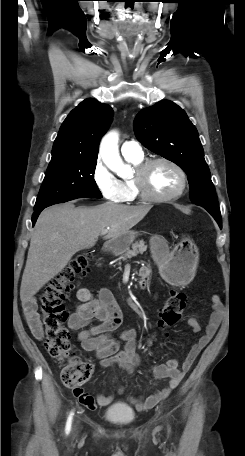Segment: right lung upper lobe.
<instances>
[{
    "instance_id": "1",
    "label": "right lung upper lobe",
    "mask_w": 245,
    "mask_h": 456,
    "mask_svg": "<svg viewBox=\"0 0 245 456\" xmlns=\"http://www.w3.org/2000/svg\"><path fill=\"white\" fill-rule=\"evenodd\" d=\"M113 117L112 108L88 98L73 109L63 122L53 148L51 162L69 158L97 157L100 138Z\"/></svg>"
}]
</instances>
